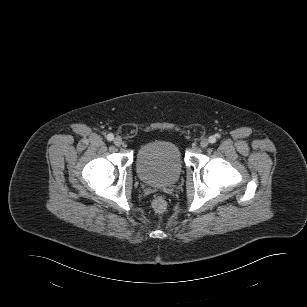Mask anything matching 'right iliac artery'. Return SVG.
I'll use <instances>...</instances> for the list:
<instances>
[{
  "mask_svg": "<svg viewBox=\"0 0 307 307\" xmlns=\"http://www.w3.org/2000/svg\"><path fill=\"white\" fill-rule=\"evenodd\" d=\"M114 139V135L112 133L107 135V140L112 141Z\"/></svg>",
  "mask_w": 307,
  "mask_h": 307,
  "instance_id": "right-iliac-artery-1",
  "label": "right iliac artery"
}]
</instances>
